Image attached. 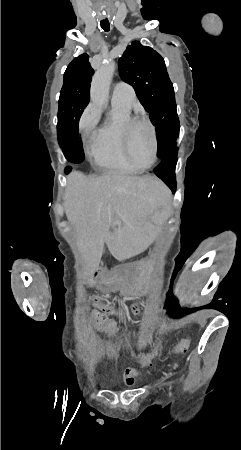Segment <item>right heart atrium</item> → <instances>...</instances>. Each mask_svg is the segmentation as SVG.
Masks as SVG:
<instances>
[{
    "label": "right heart atrium",
    "instance_id": "1",
    "mask_svg": "<svg viewBox=\"0 0 241 450\" xmlns=\"http://www.w3.org/2000/svg\"><path fill=\"white\" fill-rule=\"evenodd\" d=\"M84 130H97L101 123L100 116H84L82 118Z\"/></svg>",
    "mask_w": 241,
    "mask_h": 450
}]
</instances>
